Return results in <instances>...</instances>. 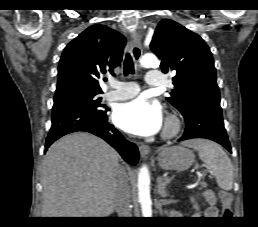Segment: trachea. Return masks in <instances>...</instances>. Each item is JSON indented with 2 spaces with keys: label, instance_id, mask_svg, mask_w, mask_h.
Masks as SVG:
<instances>
[{
  "label": "trachea",
  "instance_id": "trachea-1",
  "mask_svg": "<svg viewBox=\"0 0 258 227\" xmlns=\"http://www.w3.org/2000/svg\"><path fill=\"white\" fill-rule=\"evenodd\" d=\"M130 73H134V63L131 55L127 53L124 60V75L126 76Z\"/></svg>",
  "mask_w": 258,
  "mask_h": 227
}]
</instances>
